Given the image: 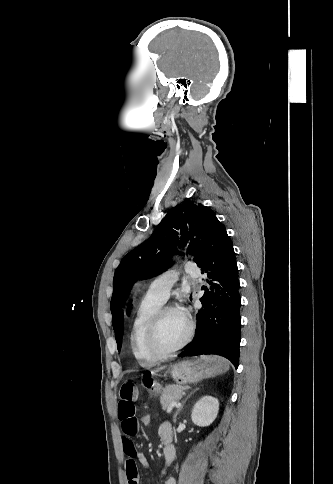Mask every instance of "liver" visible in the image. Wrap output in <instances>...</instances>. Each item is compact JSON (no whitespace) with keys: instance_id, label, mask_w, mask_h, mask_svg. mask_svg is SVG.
Here are the masks:
<instances>
[{"instance_id":"6515ba94","label":"liver","mask_w":333,"mask_h":484,"mask_svg":"<svg viewBox=\"0 0 333 484\" xmlns=\"http://www.w3.org/2000/svg\"><path fill=\"white\" fill-rule=\"evenodd\" d=\"M165 368H166V366H160V367L156 368L154 371L159 372V371H162Z\"/></svg>"}]
</instances>
